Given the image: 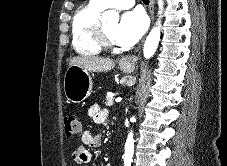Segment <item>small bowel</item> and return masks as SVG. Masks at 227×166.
I'll list each match as a JSON object with an SVG mask.
<instances>
[{
    "label": "small bowel",
    "mask_w": 227,
    "mask_h": 166,
    "mask_svg": "<svg viewBox=\"0 0 227 166\" xmlns=\"http://www.w3.org/2000/svg\"><path fill=\"white\" fill-rule=\"evenodd\" d=\"M89 116L98 124H105L109 120L110 113L107 109L102 108L99 104H92L89 108ZM82 145L78 146L73 152V159L80 166H91L92 153L87 149L98 148L101 140L97 134L90 130H85L81 135Z\"/></svg>",
    "instance_id": "obj_1"
}]
</instances>
